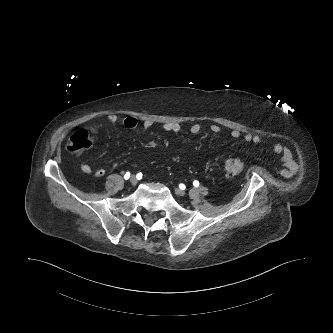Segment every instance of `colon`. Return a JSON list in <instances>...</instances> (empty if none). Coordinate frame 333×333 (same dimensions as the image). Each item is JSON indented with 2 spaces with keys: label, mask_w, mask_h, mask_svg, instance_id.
I'll use <instances>...</instances> for the list:
<instances>
[{
  "label": "colon",
  "mask_w": 333,
  "mask_h": 333,
  "mask_svg": "<svg viewBox=\"0 0 333 333\" xmlns=\"http://www.w3.org/2000/svg\"><path fill=\"white\" fill-rule=\"evenodd\" d=\"M93 145L92 132L81 129L69 138L66 149L71 153H82ZM243 161L238 157L227 158L224 162V170L228 176H237L243 170Z\"/></svg>",
  "instance_id": "1"
}]
</instances>
